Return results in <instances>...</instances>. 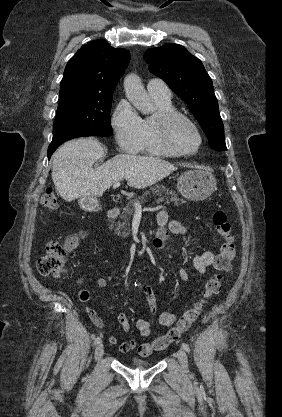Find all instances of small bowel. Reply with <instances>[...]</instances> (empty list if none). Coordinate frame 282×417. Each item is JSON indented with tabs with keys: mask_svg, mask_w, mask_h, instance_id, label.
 Instances as JSON below:
<instances>
[{
	"mask_svg": "<svg viewBox=\"0 0 282 417\" xmlns=\"http://www.w3.org/2000/svg\"><path fill=\"white\" fill-rule=\"evenodd\" d=\"M157 225L158 229L156 231V236L154 239V245L158 248L162 247L165 238L167 237L168 233H172L175 235L180 236H187L190 234V229L179 219H169V214L167 210L162 209L157 214ZM88 235L87 231H80L75 234H71L66 238L65 246L67 249L75 248L82 240H84ZM216 262V254L210 250L199 251L195 254L193 258V266L195 270L200 274H205L207 268L212 266V263ZM179 277L183 281H187L189 279V274L185 268H180L178 271ZM82 283V279L77 281V284L80 285ZM96 285L99 288H105L108 285L107 278L103 276H99L96 279ZM141 289L146 296L147 301L149 304L154 305L155 303V294L152 287L148 284H142ZM79 299L82 302H87L91 298V291L89 289H81L79 291ZM87 314L92 321V323L102 329L104 327V322L98 315V313L92 308L87 307ZM157 322L161 326L169 327L170 323H174L175 318H181L171 312L164 311L157 313ZM117 321L121 327V329L128 333L132 329V324L125 313H119L117 315ZM136 328L139 334L142 337H149L152 333V324L147 319H138L136 321ZM109 343L112 345H116L119 348V351L123 354L129 353L135 349H137L138 344L134 339L128 340H119L116 336L109 337ZM146 344V343H143Z\"/></svg>",
	"mask_w": 282,
	"mask_h": 417,
	"instance_id": "c3829d8e",
	"label": "small bowel"
}]
</instances>
